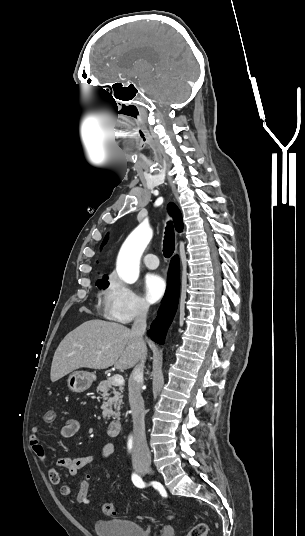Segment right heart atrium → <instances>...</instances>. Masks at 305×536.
Returning <instances> with one entry per match:
<instances>
[{"label": "right heart atrium", "instance_id": "1", "mask_svg": "<svg viewBox=\"0 0 305 536\" xmlns=\"http://www.w3.org/2000/svg\"><path fill=\"white\" fill-rule=\"evenodd\" d=\"M150 306L131 287L111 278L104 296V315L121 324L147 316Z\"/></svg>", "mask_w": 305, "mask_h": 536}]
</instances>
